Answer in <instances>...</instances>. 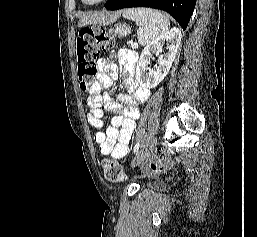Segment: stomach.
I'll use <instances>...</instances> for the list:
<instances>
[{"instance_id":"stomach-1","label":"stomach","mask_w":257,"mask_h":237,"mask_svg":"<svg viewBox=\"0 0 257 237\" xmlns=\"http://www.w3.org/2000/svg\"><path fill=\"white\" fill-rule=\"evenodd\" d=\"M129 33L130 27L125 23L117 24L113 29V34L117 37H126Z\"/></svg>"}]
</instances>
